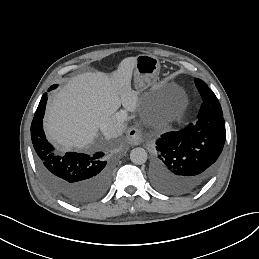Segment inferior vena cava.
<instances>
[{
    "label": "inferior vena cava",
    "mask_w": 259,
    "mask_h": 259,
    "mask_svg": "<svg viewBox=\"0 0 259 259\" xmlns=\"http://www.w3.org/2000/svg\"><path fill=\"white\" fill-rule=\"evenodd\" d=\"M126 117V113L120 111L107 118L100 126L104 136L115 138L121 135L124 130Z\"/></svg>",
    "instance_id": "602c4592"
}]
</instances>
